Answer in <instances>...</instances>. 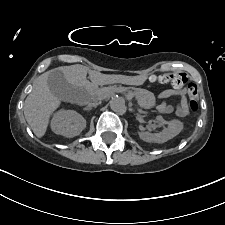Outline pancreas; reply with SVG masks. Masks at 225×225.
I'll list each match as a JSON object with an SVG mask.
<instances>
[{
	"label": "pancreas",
	"mask_w": 225,
	"mask_h": 225,
	"mask_svg": "<svg viewBox=\"0 0 225 225\" xmlns=\"http://www.w3.org/2000/svg\"><path fill=\"white\" fill-rule=\"evenodd\" d=\"M114 87L99 88L95 91L97 96L105 97L106 95L117 91ZM127 93L134 94L138 100L140 107L144 109H151L156 105V98L154 94L148 90L141 88H123Z\"/></svg>",
	"instance_id": "1"
}]
</instances>
